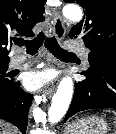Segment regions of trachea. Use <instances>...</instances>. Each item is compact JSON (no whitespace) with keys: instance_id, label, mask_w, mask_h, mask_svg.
I'll use <instances>...</instances> for the list:
<instances>
[{"instance_id":"trachea-1","label":"trachea","mask_w":116,"mask_h":134,"mask_svg":"<svg viewBox=\"0 0 116 134\" xmlns=\"http://www.w3.org/2000/svg\"><path fill=\"white\" fill-rule=\"evenodd\" d=\"M44 41H45V47L56 58L75 56L74 53L68 52L63 48H61L54 37H45L43 33H40L36 38L32 40L18 39L15 41V44L19 46H25L27 53L30 55H34L35 53H37L38 49L42 46Z\"/></svg>"}]
</instances>
